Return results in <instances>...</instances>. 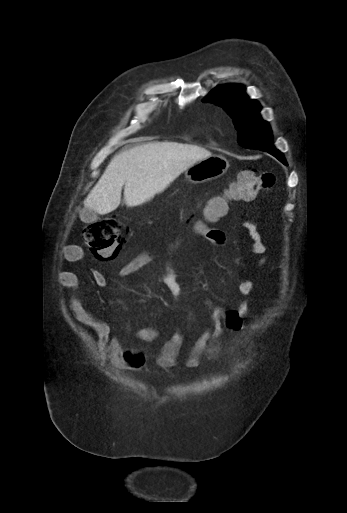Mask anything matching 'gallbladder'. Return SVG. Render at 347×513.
<instances>
[{
  "label": "gallbladder",
  "instance_id": "1",
  "mask_svg": "<svg viewBox=\"0 0 347 513\" xmlns=\"http://www.w3.org/2000/svg\"><path fill=\"white\" fill-rule=\"evenodd\" d=\"M80 215L84 220L83 222L85 223H91L98 219L97 213L91 210H83L82 212L80 211Z\"/></svg>",
  "mask_w": 347,
  "mask_h": 513
}]
</instances>
